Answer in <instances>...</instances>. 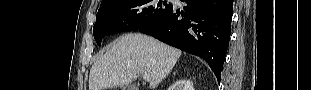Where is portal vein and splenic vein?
<instances>
[{
	"mask_svg": "<svg viewBox=\"0 0 311 90\" xmlns=\"http://www.w3.org/2000/svg\"><path fill=\"white\" fill-rule=\"evenodd\" d=\"M143 79L145 80V81H150V76L148 75V74H143Z\"/></svg>",
	"mask_w": 311,
	"mask_h": 90,
	"instance_id": "portal-vein-and-splenic-vein-1",
	"label": "portal vein and splenic vein"
}]
</instances>
